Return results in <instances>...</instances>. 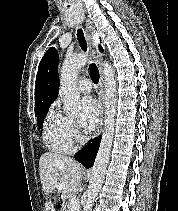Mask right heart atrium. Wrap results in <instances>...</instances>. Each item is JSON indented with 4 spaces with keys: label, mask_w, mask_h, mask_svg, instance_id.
<instances>
[{
    "label": "right heart atrium",
    "mask_w": 178,
    "mask_h": 211,
    "mask_svg": "<svg viewBox=\"0 0 178 211\" xmlns=\"http://www.w3.org/2000/svg\"><path fill=\"white\" fill-rule=\"evenodd\" d=\"M64 132L72 144L81 142L84 138L75 121L67 117H64Z\"/></svg>",
    "instance_id": "1"
}]
</instances>
